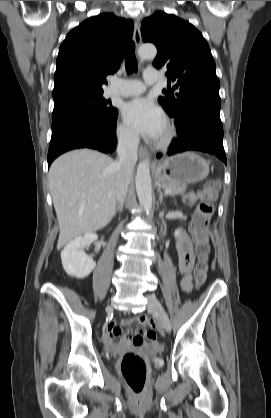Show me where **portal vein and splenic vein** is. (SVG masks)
<instances>
[{"instance_id": "obj_1", "label": "portal vein and splenic vein", "mask_w": 271, "mask_h": 418, "mask_svg": "<svg viewBox=\"0 0 271 418\" xmlns=\"http://www.w3.org/2000/svg\"><path fill=\"white\" fill-rule=\"evenodd\" d=\"M170 192H171V190L167 189V190H165V192H164V193H165V194H169ZM95 206L97 207V206H99V205H98V204H96Z\"/></svg>"}]
</instances>
